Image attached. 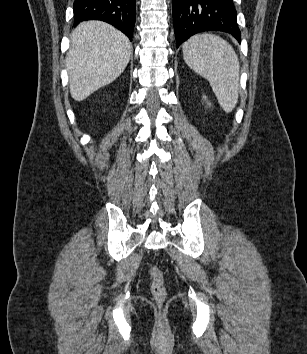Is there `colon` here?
I'll list each match as a JSON object with an SVG mask.
<instances>
[{
	"label": "colon",
	"mask_w": 307,
	"mask_h": 354,
	"mask_svg": "<svg viewBox=\"0 0 307 354\" xmlns=\"http://www.w3.org/2000/svg\"><path fill=\"white\" fill-rule=\"evenodd\" d=\"M151 293L157 302H162L166 297L165 280L162 271L154 266L151 269Z\"/></svg>",
	"instance_id": "5ec220e1"
}]
</instances>
